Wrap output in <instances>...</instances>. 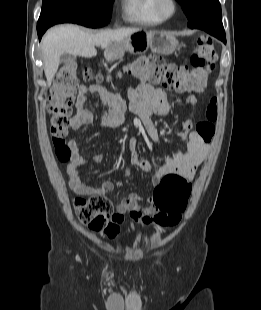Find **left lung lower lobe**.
<instances>
[{"label": "left lung lower lobe", "instance_id": "0a47b994", "mask_svg": "<svg viewBox=\"0 0 261 310\" xmlns=\"http://www.w3.org/2000/svg\"><path fill=\"white\" fill-rule=\"evenodd\" d=\"M188 27L204 30L207 33L217 37L218 39L226 43V37L223 25L217 23L216 21L207 20L201 23H192L189 24Z\"/></svg>", "mask_w": 261, "mask_h": 310}]
</instances>
